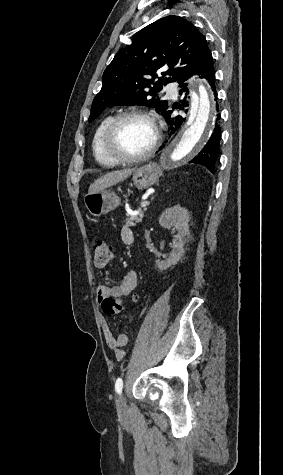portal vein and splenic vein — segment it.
I'll list each match as a JSON object with an SVG mask.
<instances>
[{
  "label": "portal vein and splenic vein",
  "mask_w": 283,
  "mask_h": 475,
  "mask_svg": "<svg viewBox=\"0 0 283 475\" xmlns=\"http://www.w3.org/2000/svg\"><path fill=\"white\" fill-rule=\"evenodd\" d=\"M150 202H141V208H145V206H149Z\"/></svg>",
  "instance_id": "18ae733b"
}]
</instances>
